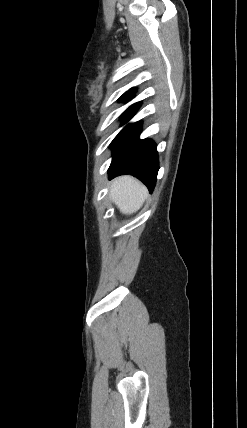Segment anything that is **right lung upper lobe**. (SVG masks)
Wrapping results in <instances>:
<instances>
[{
  "instance_id": "cb5924a9",
  "label": "right lung upper lobe",
  "mask_w": 247,
  "mask_h": 428,
  "mask_svg": "<svg viewBox=\"0 0 247 428\" xmlns=\"http://www.w3.org/2000/svg\"><path fill=\"white\" fill-rule=\"evenodd\" d=\"M131 91H135L134 88H131L130 91H127L126 93H132Z\"/></svg>"
}]
</instances>
